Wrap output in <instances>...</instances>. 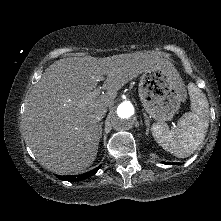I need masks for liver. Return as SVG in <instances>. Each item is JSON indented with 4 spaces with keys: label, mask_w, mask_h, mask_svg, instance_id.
Segmentation results:
<instances>
[{
    "label": "liver",
    "mask_w": 221,
    "mask_h": 221,
    "mask_svg": "<svg viewBox=\"0 0 221 221\" xmlns=\"http://www.w3.org/2000/svg\"><path fill=\"white\" fill-rule=\"evenodd\" d=\"M172 67L169 60L142 52L55 61L34 85L25 105L23 129L36 159L58 174L90 167L100 140L95 119L99 110L112 105L117 91L138 75ZM103 75L106 92L90 100Z\"/></svg>",
    "instance_id": "1"
}]
</instances>
